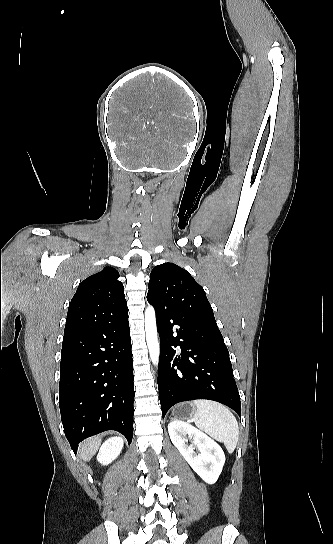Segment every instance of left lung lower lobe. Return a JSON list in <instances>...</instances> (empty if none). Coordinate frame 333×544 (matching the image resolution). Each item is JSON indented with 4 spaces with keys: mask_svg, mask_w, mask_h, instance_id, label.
<instances>
[{
    "mask_svg": "<svg viewBox=\"0 0 333 544\" xmlns=\"http://www.w3.org/2000/svg\"><path fill=\"white\" fill-rule=\"evenodd\" d=\"M154 309L160 335L158 389L163 418L174 404L194 399L220 402L241 416L229 352L220 330L159 306Z\"/></svg>",
    "mask_w": 333,
    "mask_h": 544,
    "instance_id": "1",
    "label": "left lung lower lobe"
}]
</instances>
